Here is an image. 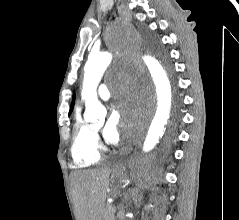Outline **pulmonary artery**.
<instances>
[{"mask_svg": "<svg viewBox=\"0 0 239 220\" xmlns=\"http://www.w3.org/2000/svg\"><path fill=\"white\" fill-rule=\"evenodd\" d=\"M98 95L102 100H109L111 97L109 88L105 84H101L98 88Z\"/></svg>", "mask_w": 239, "mask_h": 220, "instance_id": "obj_1", "label": "pulmonary artery"}]
</instances>
